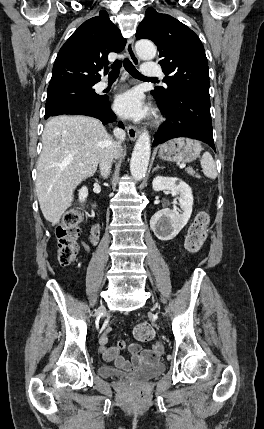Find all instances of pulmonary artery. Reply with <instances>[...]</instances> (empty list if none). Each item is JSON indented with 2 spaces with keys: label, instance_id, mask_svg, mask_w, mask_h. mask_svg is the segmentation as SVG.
I'll use <instances>...</instances> for the list:
<instances>
[{
  "label": "pulmonary artery",
  "instance_id": "obj_1",
  "mask_svg": "<svg viewBox=\"0 0 264 429\" xmlns=\"http://www.w3.org/2000/svg\"><path fill=\"white\" fill-rule=\"evenodd\" d=\"M142 72L148 78H156V77L163 78V72L160 66H158L154 62L145 63L143 65ZM107 87H108V84L106 82H101L99 84L100 89H106Z\"/></svg>",
  "mask_w": 264,
  "mask_h": 429
}]
</instances>
